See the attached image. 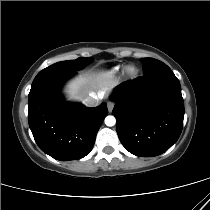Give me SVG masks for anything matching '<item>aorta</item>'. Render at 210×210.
I'll return each mask as SVG.
<instances>
[{"label":"aorta","instance_id":"1","mask_svg":"<svg viewBox=\"0 0 210 210\" xmlns=\"http://www.w3.org/2000/svg\"><path fill=\"white\" fill-rule=\"evenodd\" d=\"M105 124L107 125V126H114L115 124H116V119H115V117L114 116H107L106 118H105Z\"/></svg>","mask_w":210,"mask_h":210}]
</instances>
